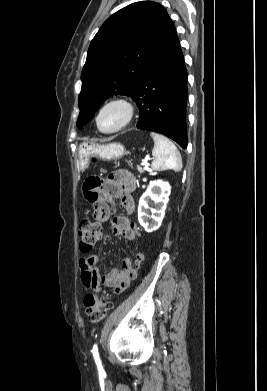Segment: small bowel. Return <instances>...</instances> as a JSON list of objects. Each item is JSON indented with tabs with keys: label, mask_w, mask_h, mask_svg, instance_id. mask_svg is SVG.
Returning <instances> with one entry per match:
<instances>
[{
	"label": "small bowel",
	"mask_w": 267,
	"mask_h": 391,
	"mask_svg": "<svg viewBox=\"0 0 267 391\" xmlns=\"http://www.w3.org/2000/svg\"><path fill=\"white\" fill-rule=\"evenodd\" d=\"M137 186L136 178L126 170H118L106 180L96 177L89 178L84 183V196L92 205V216L96 222H105L113 216L111 233L134 241L140 238L137 225L123 215L114 214V201L119 200L128 214L135 210V202L132 193ZM144 260V254L138 252L134 260L124 258L120 266L101 275L98 269L100 256L97 254L82 257L79 260L81 281L91 290H99L100 284L110 287L114 293L126 290L130 282L136 278L138 268Z\"/></svg>",
	"instance_id": "c3829d8e"
}]
</instances>
